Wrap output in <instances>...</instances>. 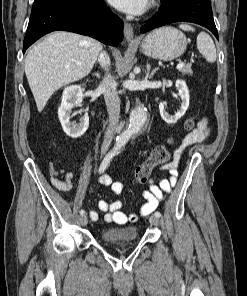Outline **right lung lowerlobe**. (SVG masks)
I'll return each instance as SVG.
<instances>
[{
    "instance_id": "1",
    "label": "right lung lower lobe",
    "mask_w": 247,
    "mask_h": 296,
    "mask_svg": "<svg viewBox=\"0 0 247 296\" xmlns=\"http://www.w3.org/2000/svg\"><path fill=\"white\" fill-rule=\"evenodd\" d=\"M64 30L117 46L123 22L104 0H35L23 43V53L43 35Z\"/></svg>"
}]
</instances>
